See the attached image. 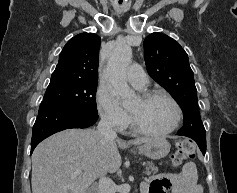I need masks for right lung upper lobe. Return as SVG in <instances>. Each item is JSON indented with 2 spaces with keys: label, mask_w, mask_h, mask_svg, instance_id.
Wrapping results in <instances>:
<instances>
[{
  "label": "right lung upper lobe",
  "mask_w": 237,
  "mask_h": 193,
  "mask_svg": "<svg viewBox=\"0 0 237 193\" xmlns=\"http://www.w3.org/2000/svg\"><path fill=\"white\" fill-rule=\"evenodd\" d=\"M100 42V37L93 33L74 36L59 55V62L52 76L97 81Z\"/></svg>",
  "instance_id": "right-lung-upper-lobe-1"
}]
</instances>
